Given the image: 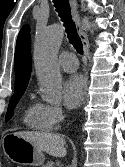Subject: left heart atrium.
Listing matches in <instances>:
<instances>
[{
  "instance_id": "1",
  "label": "left heart atrium",
  "mask_w": 125,
  "mask_h": 167,
  "mask_svg": "<svg viewBox=\"0 0 125 167\" xmlns=\"http://www.w3.org/2000/svg\"><path fill=\"white\" fill-rule=\"evenodd\" d=\"M86 93V80L80 74L69 76L63 84V100L68 108H76Z\"/></svg>"
}]
</instances>
